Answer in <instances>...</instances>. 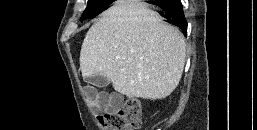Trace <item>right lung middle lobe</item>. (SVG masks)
<instances>
[{"label":"right lung middle lobe","mask_w":257,"mask_h":130,"mask_svg":"<svg viewBox=\"0 0 257 130\" xmlns=\"http://www.w3.org/2000/svg\"><path fill=\"white\" fill-rule=\"evenodd\" d=\"M113 1L111 0H88L87 8L84 11L81 20L90 19L102 12Z\"/></svg>","instance_id":"obj_1"}]
</instances>
